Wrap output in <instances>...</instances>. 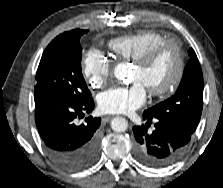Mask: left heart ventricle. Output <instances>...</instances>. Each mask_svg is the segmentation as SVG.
Here are the masks:
<instances>
[{
	"label": "left heart ventricle",
	"mask_w": 223,
	"mask_h": 188,
	"mask_svg": "<svg viewBox=\"0 0 223 188\" xmlns=\"http://www.w3.org/2000/svg\"><path fill=\"white\" fill-rule=\"evenodd\" d=\"M176 57L172 49H166L147 68L134 66L131 74L132 81H139L149 90L162 88L168 84L174 75Z\"/></svg>",
	"instance_id": "1"
}]
</instances>
